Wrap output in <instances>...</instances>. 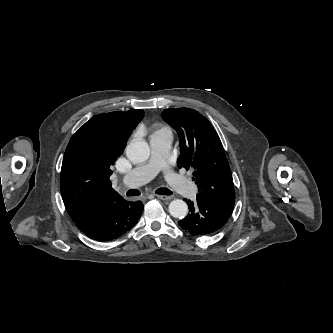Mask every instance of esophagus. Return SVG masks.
<instances>
[{
    "instance_id": "34e87169",
    "label": "esophagus",
    "mask_w": 333,
    "mask_h": 333,
    "mask_svg": "<svg viewBox=\"0 0 333 333\" xmlns=\"http://www.w3.org/2000/svg\"><path fill=\"white\" fill-rule=\"evenodd\" d=\"M156 197L159 198V199H161V200H163V201H169V200L172 199L171 196L159 195V194H157Z\"/></svg>"
}]
</instances>
